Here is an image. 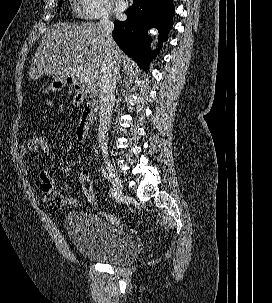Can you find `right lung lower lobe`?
<instances>
[{"label": "right lung lower lobe", "instance_id": "obj_1", "mask_svg": "<svg viewBox=\"0 0 272 303\" xmlns=\"http://www.w3.org/2000/svg\"><path fill=\"white\" fill-rule=\"evenodd\" d=\"M174 13L173 0H134L126 11V21H114L113 39L129 57L147 68L158 53L149 50L151 38L147 31L156 27L159 42L166 41Z\"/></svg>", "mask_w": 272, "mask_h": 303}]
</instances>
